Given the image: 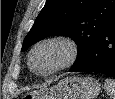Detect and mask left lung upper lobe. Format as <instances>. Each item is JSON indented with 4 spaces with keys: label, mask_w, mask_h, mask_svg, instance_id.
Instances as JSON below:
<instances>
[{
    "label": "left lung upper lobe",
    "mask_w": 115,
    "mask_h": 99,
    "mask_svg": "<svg viewBox=\"0 0 115 99\" xmlns=\"http://www.w3.org/2000/svg\"><path fill=\"white\" fill-rule=\"evenodd\" d=\"M114 21L115 0H47L24 39L22 51L52 35L69 36L78 46L75 66Z\"/></svg>",
    "instance_id": "5c2ea615"
}]
</instances>
